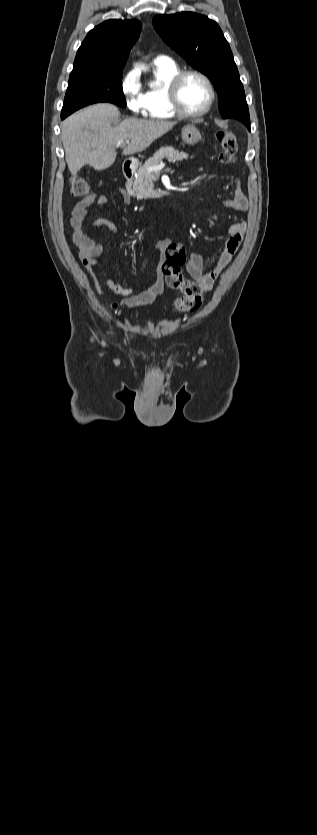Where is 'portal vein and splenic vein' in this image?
<instances>
[{
  "instance_id": "1",
  "label": "portal vein and splenic vein",
  "mask_w": 317,
  "mask_h": 835,
  "mask_svg": "<svg viewBox=\"0 0 317 835\" xmlns=\"http://www.w3.org/2000/svg\"><path fill=\"white\" fill-rule=\"evenodd\" d=\"M127 143H129V141L122 142L119 146H120L121 148H123V147H124ZM164 167H165V164H164V163H160V164H158V165H156V166L149 167V168L147 169V171H148V172H151V171H155V172H156V171H160V170H161V169H163Z\"/></svg>"
}]
</instances>
